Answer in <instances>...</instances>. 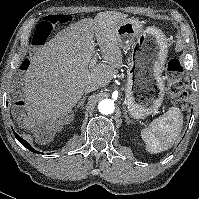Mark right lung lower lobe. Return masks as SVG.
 Here are the masks:
<instances>
[{
  "label": "right lung lower lobe",
  "mask_w": 199,
  "mask_h": 199,
  "mask_svg": "<svg viewBox=\"0 0 199 199\" xmlns=\"http://www.w3.org/2000/svg\"><path fill=\"white\" fill-rule=\"evenodd\" d=\"M13 132H14V131H13ZM14 135H15V137L18 139V141H19L24 147H26L28 150H30L31 152H34V153H37V154H43V153L38 152V151H36L35 149H33L29 143H27L24 139H22V138H21L19 135H17L15 132H14Z\"/></svg>",
  "instance_id": "1"
}]
</instances>
